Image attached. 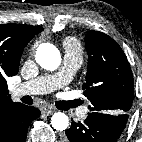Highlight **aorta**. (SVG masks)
Wrapping results in <instances>:
<instances>
[{
  "mask_svg": "<svg viewBox=\"0 0 142 142\" xmlns=\"http://www.w3.org/2000/svg\"><path fill=\"white\" fill-rule=\"evenodd\" d=\"M36 61L47 70H55L61 63L59 50L50 43L40 44L36 51ZM51 125L58 131L65 130L69 125V119L62 112L55 113L51 118Z\"/></svg>",
  "mask_w": 142,
  "mask_h": 142,
  "instance_id": "aorta-1",
  "label": "aorta"
}]
</instances>
